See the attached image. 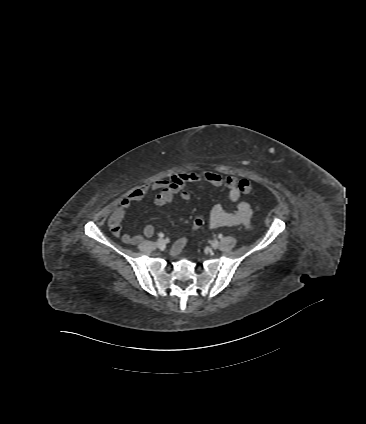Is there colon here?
Wrapping results in <instances>:
<instances>
[{"mask_svg": "<svg viewBox=\"0 0 366 424\" xmlns=\"http://www.w3.org/2000/svg\"><path fill=\"white\" fill-rule=\"evenodd\" d=\"M239 188L242 191L243 194H249L253 191V186L250 182L246 181V180H241L239 182ZM204 223V218L202 216L197 217L194 221H193V229L197 230L198 228H200L202 226V224Z\"/></svg>", "mask_w": 366, "mask_h": 424, "instance_id": "obj_1", "label": "colon"}]
</instances>
